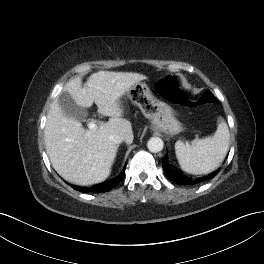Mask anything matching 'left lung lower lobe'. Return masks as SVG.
<instances>
[{
    "instance_id": "1",
    "label": "left lung lower lobe",
    "mask_w": 264,
    "mask_h": 264,
    "mask_svg": "<svg viewBox=\"0 0 264 264\" xmlns=\"http://www.w3.org/2000/svg\"><path fill=\"white\" fill-rule=\"evenodd\" d=\"M162 166L163 169L166 173V175L169 177V179L179 185H186V184H198L201 183L205 180L213 178L219 171H216L212 173L211 175H208L203 178H198V179H192L186 175H184L181 171L175 169L171 164L167 162L166 156L163 157L162 159Z\"/></svg>"
}]
</instances>
